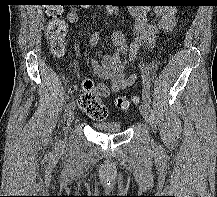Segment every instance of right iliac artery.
Here are the masks:
<instances>
[{"label":"right iliac artery","mask_w":217,"mask_h":197,"mask_svg":"<svg viewBox=\"0 0 217 197\" xmlns=\"http://www.w3.org/2000/svg\"><path fill=\"white\" fill-rule=\"evenodd\" d=\"M74 107H75L74 101H71L67 104L66 111H70V110L74 109Z\"/></svg>","instance_id":"1"}]
</instances>
